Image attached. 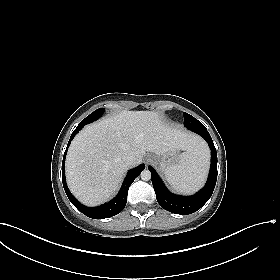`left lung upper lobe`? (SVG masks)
Segmentation results:
<instances>
[{"label":"left lung upper lobe","mask_w":280,"mask_h":280,"mask_svg":"<svg viewBox=\"0 0 280 280\" xmlns=\"http://www.w3.org/2000/svg\"><path fill=\"white\" fill-rule=\"evenodd\" d=\"M184 125L188 129H191L192 127H199L202 126L203 124L200 123L196 118L193 116L189 115L188 113L184 112Z\"/></svg>","instance_id":"1"}]
</instances>
